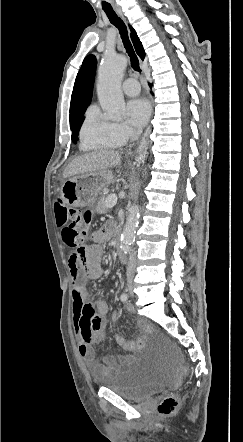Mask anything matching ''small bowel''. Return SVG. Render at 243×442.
<instances>
[{"mask_svg":"<svg viewBox=\"0 0 243 442\" xmlns=\"http://www.w3.org/2000/svg\"><path fill=\"white\" fill-rule=\"evenodd\" d=\"M113 228L112 224H104L95 230L92 233L94 244L85 247L83 258L78 262L71 258L68 261L73 281V324L78 338V353L94 380L106 377L127 358L126 355L118 357L97 355L95 346L104 342L109 304L105 300L89 301L86 289L88 279L95 280L102 276L104 255L102 244L109 239ZM125 309L131 311L133 307L126 304ZM140 327L142 332L137 339L126 340L121 335H115L116 343L126 352L140 350L146 344L151 331L147 324L142 323Z\"/></svg>","mask_w":243,"mask_h":442,"instance_id":"1","label":"small bowel"}]
</instances>
